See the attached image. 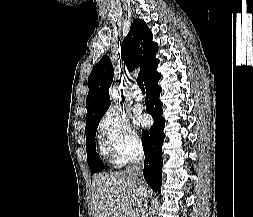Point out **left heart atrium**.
Returning a JSON list of instances; mask_svg holds the SVG:
<instances>
[{"instance_id":"obj_1","label":"left heart atrium","mask_w":253,"mask_h":217,"mask_svg":"<svg viewBox=\"0 0 253 217\" xmlns=\"http://www.w3.org/2000/svg\"><path fill=\"white\" fill-rule=\"evenodd\" d=\"M135 122L138 125L145 126L147 124V119L144 115L138 113L135 117Z\"/></svg>"}]
</instances>
